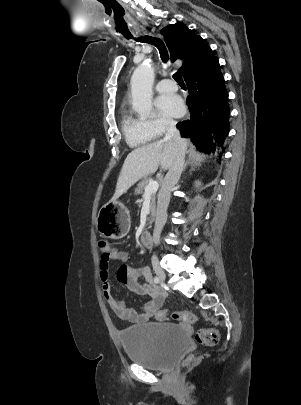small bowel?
Listing matches in <instances>:
<instances>
[{
  "label": "small bowel",
  "mask_w": 301,
  "mask_h": 405,
  "mask_svg": "<svg viewBox=\"0 0 301 405\" xmlns=\"http://www.w3.org/2000/svg\"><path fill=\"white\" fill-rule=\"evenodd\" d=\"M113 260L120 262L116 272L117 280L137 294L148 297V300L139 310L128 307L123 301L113 296L109 282V263ZM127 260L128 253L118 249H110L107 257H101L100 280L102 282V293L109 307L119 318L132 323L145 322L156 314L166 298V292L152 283L149 267H132L127 264Z\"/></svg>",
  "instance_id": "small-bowel-1"
}]
</instances>
